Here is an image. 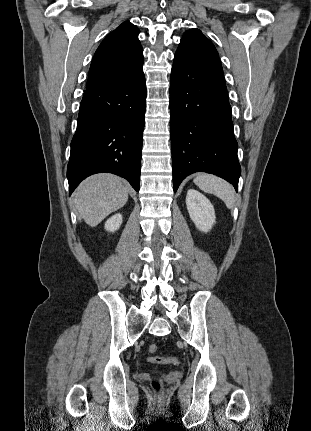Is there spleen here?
Wrapping results in <instances>:
<instances>
[{
  "instance_id": "1",
  "label": "spleen",
  "mask_w": 311,
  "mask_h": 431,
  "mask_svg": "<svg viewBox=\"0 0 311 431\" xmlns=\"http://www.w3.org/2000/svg\"><path fill=\"white\" fill-rule=\"evenodd\" d=\"M194 184L207 192V194H214L217 198H221L225 202L227 208H233L235 206V194L232 186L221 180V178H216V176H210V174H197Z\"/></svg>"
}]
</instances>
